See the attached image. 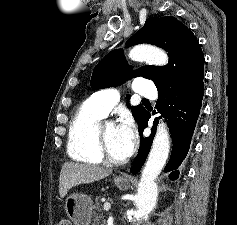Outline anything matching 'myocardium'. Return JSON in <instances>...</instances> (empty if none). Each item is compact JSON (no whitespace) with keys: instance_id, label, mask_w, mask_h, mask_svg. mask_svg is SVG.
<instances>
[{"instance_id":"obj_1","label":"myocardium","mask_w":237,"mask_h":225,"mask_svg":"<svg viewBox=\"0 0 237 225\" xmlns=\"http://www.w3.org/2000/svg\"><path fill=\"white\" fill-rule=\"evenodd\" d=\"M104 126L105 124L103 123H99L97 129H96V140H97V146H98V151L99 154L102 158V161H104L107 164L110 165H122L126 162V159H115L111 156L107 144H106V140H105V136H104Z\"/></svg>"}]
</instances>
